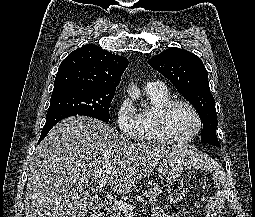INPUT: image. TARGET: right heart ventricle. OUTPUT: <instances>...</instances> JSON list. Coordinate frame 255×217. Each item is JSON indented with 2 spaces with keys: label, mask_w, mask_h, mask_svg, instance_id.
I'll list each match as a JSON object with an SVG mask.
<instances>
[{
  "label": "right heart ventricle",
  "mask_w": 255,
  "mask_h": 217,
  "mask_svg": "<svg viewBox=\"0 0 255 217\" xmlns=\"http://www.w3.org/2000/svg\"><path fill=\"white\" fill-rule=\"evenodd\" d=\"M150 107L142 109L139 113L140 131L138 138L143 141L161 140L155 124L157 110L167 101L171 100L169 91L163 87L145 88Z\"/></svg>",
  "instance_id": "e07e8e85"
}]
</instances>
